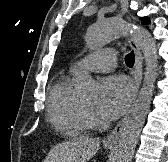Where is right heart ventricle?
<instances>
[{
  "label": "right heart ventricle",
  "instance_id": "e07e8e85",
  "mask_svg": "<svg viewBox=\"0 0 168 162\" xmlns=\"http://www.w3.org/2000/svg\"><path fill=\"white\" fill-rule=\"evenodd\" d=\"M73 75L70 70L56 78L48 99V116L59 132L79 136L88 132L90 123L86 106L74 93Z\"/></svg>",
  "mask_w": 168,
  "mask_h": 162
}]
</instances>
